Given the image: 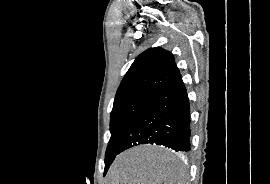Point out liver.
I'll return each instance as SVG.
<instances>
[{"label": "liver", "mask_w": 270, "mask_h": 184, "mask_svg": "<svg viewBox=\"0 0 270 184\" xmlns=\"http://www.w3.org/2000/svg\"><path fill=\"white\" fill-rule=\"evenodd\" d=\"M169 152L140 145L119 154L109 168L108 184H187L185 170L176 168Z\"/></svg>", "instance_id": "liver-1"}]
</instances>
